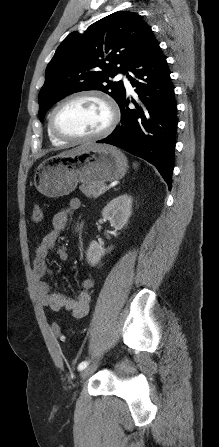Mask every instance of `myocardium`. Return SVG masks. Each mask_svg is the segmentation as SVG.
<instances>
[{
	"label": "myocardium",
	"mask_w": 219,
	"mask_h": 447,
	"mask_svg": "<svg viewBox=\"0 0 219 447\" xmlns=\"http://www.w3.org/2000/svg\"><path fill=\"white\" fill-rule=\"evenodd\" d=\"M86 97L98 99L107 107L108 112H109V120H108L107 125L104 127V129H102L98 133H95L92 135L79 136V137L70 136V135L64 134L61 131H59L56 126V123H55V118H56V114H57L58 110L63 105H65L66 103H68L72 100L79 99V98H86ZM118 120H119V108H118L117 104L115 103V101L108 94H106L102 91L87 89V90L76 91L74 93L67 95L63 99H61L56 104V106L53 108V110L51 111V114L49 117V127H50L51 132L57 138L65 141V142L82 143V142H88V141H95V140H98V139L108 136L115 129V127L118 123Z\"/></svg>",
	"instance_id": "1"
}]
</instances>
